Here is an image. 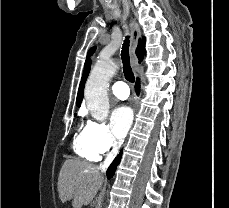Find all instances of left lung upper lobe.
<instances>
[{"label": "left lung upper lobe", "instance_id": "5c2ea615", "mask_svg": "<svg viewBox=\"0 0 229 208\" xmlns=\"http://www.w3.org/2000/svg\"><path fill=\"white\" fill-rule=\"evenodd\" d=\"M143 45H145V39L143 40ZM95 51V47L91 48L87 54V59L89 58L90 55ZM145 51V50H144Z\"/></svg>", "mask_w": 229, "mask_h": 208}]
</instances>
